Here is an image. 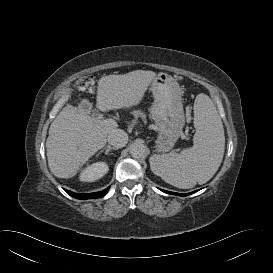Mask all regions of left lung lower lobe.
<instances>
[{
	"label": "left lung lower lobe",
	"mask_w": 273,
	"mask_h": 273,
	"mask_svg": "<svg viewBox=\"0 0 273 273\" xmlns=\"http://www.w3.org/2000/svg\"><path fill=\"white\" fill-rule=\"evenodd\" d=\"M160 190L165 192V193L172 194V195H177V196H187V195H189V194L174 193V192H170V191H166V190H162V189H160Z\"/></svg>",
	"instance_id": "obj_1"
}]
</instances>
